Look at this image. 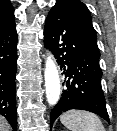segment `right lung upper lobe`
I'll return each instance as SVG.
<instances>
[{"instance_id": "1", "label": "right lung upper lobe", "mask_w": 117, "mask_h": 131, "mask_svg": "<svg viewBox=\"0 0 117 131\" xmlns=\"http://www.w3.org/2000/svg\"><path fill=\"white\" fill-rule=\"evenodd\" d=\"M14 8L7 0H0V35L15 27Z\"/></svg>"}]
</instances>
